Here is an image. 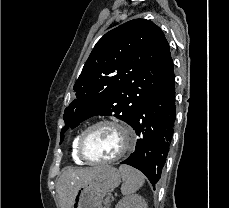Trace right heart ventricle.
Segmentation results:
<instances>
[{
	"mask_svg": "<svg viewBox=\"0 0 229 208\" xmlns=\"http://www.w3.org/2000/svg\"><path fill=\"white\" fill-rule=\"evenodd\" d=\"M81 133H82V131L77 132L71 141V158H72L73 162L77 165L87 164V162L83 158L77 157V154L79 153V151H78V140H79Z\"/></svg>",
	"mask_w": 229,
	"mask_h": 208,
	"instance_id": "e07e8e85",
	"label": "right heart ventricle"
}]
</instances>
